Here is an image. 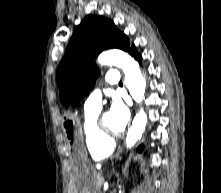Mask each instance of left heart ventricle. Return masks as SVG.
<instances>
[{
  "label": "left heart ventricle",
  "mask_w": 221,
  "mask_h": 193,
  "mask_svg": "<svg viewBox=\"0 0 221 193\" xmlns=\"http://www.w3.org/2000/svg\"><path fill=\"white\" fill-rule=\"evenodd\" d=\"M103 122H104L105 127L109 131H111V132H119L117 127L114 124V121H113V119H112V117L110 115V112L109 113L108 112L104 113V115H103Z\"/></svg>",
  "instance_id": "1"
}]
</instances>
